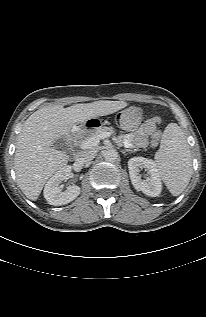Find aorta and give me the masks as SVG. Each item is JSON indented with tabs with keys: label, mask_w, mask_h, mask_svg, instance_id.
<instances>
[{
	"label": "aorta",
	"mask_w": 206,
	"mask_h": 317,
	"mask_svg": "<svg viewBox=\"0 0 206 317\" xmlns=\"http://www.w3.org/2000/svg\"><path fill=\"white\" fill-rule=\"evenodd\" d=\"M104 158L108 162H115L119 158V154L116 149H109L105 152Z\"/></svg>",
	"instance_id": "aorta-1"
}]
</instances>
